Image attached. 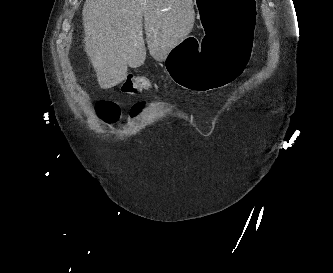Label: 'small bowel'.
I'll return each mask as SVG.
<instances>
[{
	"mask_svg": "<svg viewBox=\"0 0 333 273\" xmlns=\"http://www.w3.org/2000/svg\"><path fill=\"white\" fill-rule=\"evenodd\" d=\"M142 108L143 104L141 103L134 105L130 113V118L131 119L135 118L141 112Z\"/></svg>",
	"mask_w": 333,
	"mask_h": 273,
	"instance_id": "c3829d8e",
	"label": "small bowel"
}]
</instances>
